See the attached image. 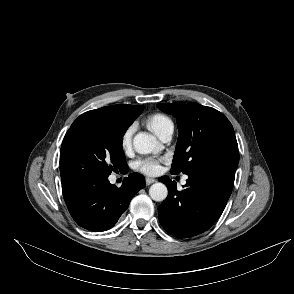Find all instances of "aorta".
<instances>
[{
  "instance_id": "1",
  "label": "aorta",
  "mask_w": 294,
  "mask_h": 294,
  "mask_svg": "<svg viewBox=\"0 0 294 294\" xmlns=\"http://www.w3.org/2000/svg\"><path fill=\"white\" fill-rule=\"evenodd\" d=\"M133 146L140 154L152 152L157 146V140L154 136L140 132L133 139ZM150 197L157 202L163 201L168 195V190L165 184L161 182L154 183L149 189Z\"/></svg>"
}]
</instances>
